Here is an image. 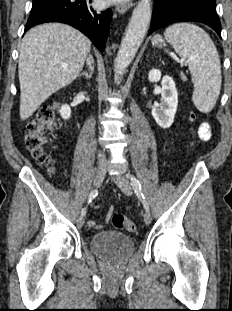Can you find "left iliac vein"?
I'll return each instance as SVG.
<instances>
[{
    "mask_svg": "<svg viewBox=\"0 0 232 311\" xmlns=\"http://www.w3.org/2000/svg\"><path fill=\"white\" fill-rule=\"evenodd\" d=\"M111 178L125 195L127 196L132 195V185L124 175L117 174L113 175ZM144 221L146 224H150L151 222V215L148 210H146L144 213Z\"/></svg>",
    "mask_w": 232,
    "mask_h": 311,
    "instance_id": "1",
    "label": "left iliac vein"
}]
</instances>
